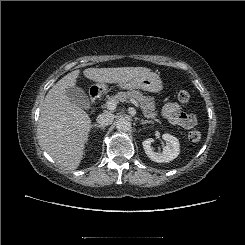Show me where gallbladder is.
Listing matches in <instances>:
<instances>
[{
    "label": "gallbladder",
    "mask_w": 245,
    "mask_h": 245,
    "mask_svg": "<svg viewBox=\"0 0 245 245\" xmlns=\"http://www.w3.org/2000/svg\"><path fill=\"white\" fill-rule=\"evenodd\" d=\"M66 95L72 103L80 106L83 109H90L89 98L80 87L73 86L67 88Z\"/></svg>",
    "instance_id": "obj_1"
}]
</instances>
